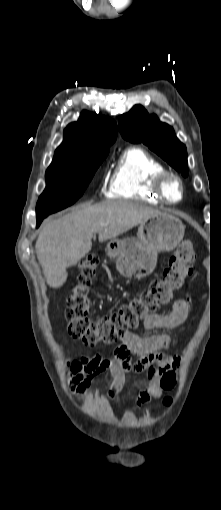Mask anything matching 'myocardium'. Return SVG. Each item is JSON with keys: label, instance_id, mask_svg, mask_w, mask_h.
Returning <instances> with one entry per match:
<instances>
[{"label": "myocardium", "instance_id": "myocardium-1", "mask_svg": "<svg viewBox=\"0 0 221 510\" xmlns=\"http://www.w3.org/2000/svg\"><path fill=\"white\" fill-rule=\"evenodd\" d=\"M170 181L176 183L180 190V197L176 200L171 199L167 192V185ZM152 190L160 201L169 205H175L180 203L185 196V188L182 180L180 179L179 176L168 170L160 172L154 177L152 183Z\"/></svg>", "mask_w": 221, "mask_h": 510}]
</instances>
